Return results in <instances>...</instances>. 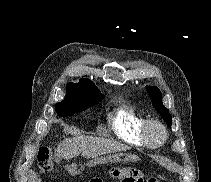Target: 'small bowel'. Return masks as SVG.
Instances as JSON below:
<instances>
[{
  "instance_id": "small-bowel-1",
  "label": "small bowel",
  "mask_w": 211,
  "mask_h": 182,
  "mask_svg": "<svg viewBox=\"0 0 211 182\" xmlns=\"http://www.w3.org/2000/svg\"><path fill=\"white\" fill-rule=\"evenodd\" d=\"M122 182V181H121ZM123 182H131L130 180H123Z\"/></svg>"
}]
</instances>
